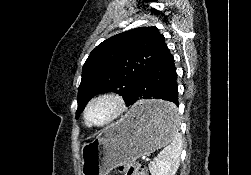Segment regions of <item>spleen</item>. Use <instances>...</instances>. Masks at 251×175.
I'll return each mask as SVG.
<instances>
[{
    "instance_id": "obj_1",
    "label": "spleen",
    "mask_w": 251,
    "mask_h": 175,
    "mask_svg": "<svg viewBox=\"0 0 251 175\" xmlns=\"http://www.w3.org/2000/svg\"><path fill=\"white\" fill-rule=\"evenodd\" d=\"M168 115L174 117V121H170L171 117H168L172 139L170 145H166L165 149L158 153L155 161L149 163L151 175H175V171L180 165L179 155L182 151V135L178 133L179 123L176 109H170Z\"/></svg>"
}]
</instances>
